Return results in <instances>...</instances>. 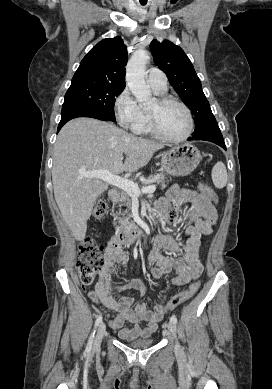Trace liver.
Segmentation results:
<instances>
[{"instance_id": "1", "label": "liver", "mask_w": 272, "mask_h": 389, "mask_svg": "<svg viewBox=\"0 0 272 389\" xmlns=\"http://www.w3.org/2000/svg\"><path fill=\"white\" fill-rule=\"evenodd\" d=\"M163 148V144L92 118L73 119L60 130L53 152L54 197L76 240H84L94 203L108 188L101 179L83 177L81 173L135 172Z\"/></svg>"}]
</instances>
